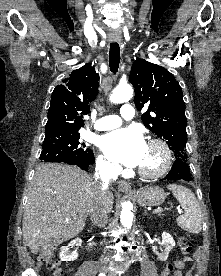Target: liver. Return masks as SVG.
I'll use <instances>...</instances> for the list:
<instances>
[{
	"instance_id": "6515ba94",
	"label": "liver",
	"mask_w": 221,
	"mask_h": 276,
	"mask_svg": "<svg viewBox=\"0 0 221 276\" xmlns=\"http://www.w3.org/2000/svg\"><path fill=\"white\" fill-rule=\"evenodd\" d=\"M99 184L76 166L43 164L30 183L23 216V243L33 254L74 238L85 227ZM108 211L114 197L105 192Z\"/></svg>"
}]
</instances>
